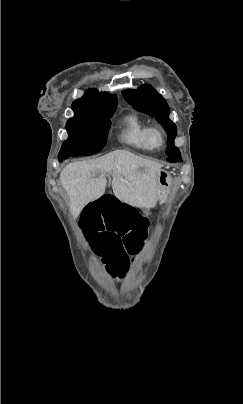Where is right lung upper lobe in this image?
<instances>
[{"mask_svg":"<svg viewBox=\"0 0 243 404\" xmlns=\"http://www.w3.org/2000/svg\"><path fill=\"white\" fill-rule=\"evenodd\" d=\"M117 99L115 96L106 92H99L96 89H90L85 92L82 98L72 103V110L75 115L92 114L116 107Z\"/></svg>","mask_w":243,"mask_h":404,"instance_id":"obj_1","label":"right lung upper lobe"}]
</instances>
